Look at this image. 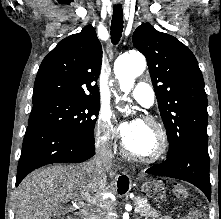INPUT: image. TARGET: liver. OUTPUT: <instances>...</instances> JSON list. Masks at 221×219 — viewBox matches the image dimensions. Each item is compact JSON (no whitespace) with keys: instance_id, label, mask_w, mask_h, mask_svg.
I'll return each instance as SVG.
<instances>
[{"instance_id":"6515ba94","label":"liver","mask_w":221,"mask_h":219,"mask_svg":"<svg viewBox=\"0 0 221 219\" xmlns=\"http://www.w3.org/2000/svg\"><path fill=\"white\" fill-rule=\"evenodd\" d=\"M110 192L106 175L97 174L92 161L77 166H48L32 172L19 185L15 217L51 219L70 200L89 198L98 203Z\"/></svg>"}]
</instances>
